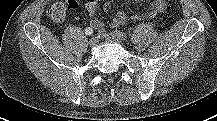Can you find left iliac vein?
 I'll return each instance as SVG.
<instances>
[{
    "instance_id": "1",
    "label": "left iliac vein",
    "mask_w": 217,
    "mask_h": 121,
    "mask_svg": "<svg viewBox=\"0 0 217 121\" xmlns=\"http://www.w3.org/2000/svg\"><path fill=\"white\" fill-rule=\"evenodd\" d=\"M105 38L108 41H114V42H117V43H122L121 39L115 33H108V34L105 35Z\"/></svg>"
}]
</instances>
